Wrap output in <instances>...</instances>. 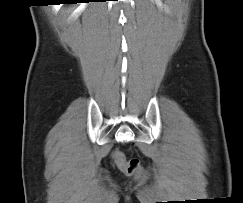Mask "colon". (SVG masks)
Returning a JSON list of instances; mask_svg holds the SVG:
<instances>
[{
  "label": "colon",
  "mask_w": 243,
  "mask_h": 203,
  "mask_svg": "<svg viewBox=\"0 0 243 203\" xmlns=\"http://www.w3.org/2000/svg\"><path fill=\"white\" fill-rule=\"evenodd\" d=\"M113 159L118 167L127 175L142 177L143 170L140 165V161L137 158L126 160L122 153L114 152Z\"/></svg>",
  "instance_id": "1"
}]
</instances>
